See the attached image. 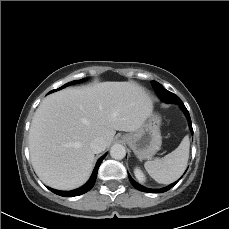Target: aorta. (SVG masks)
Masks as SVG:
<instances>
[{
	"mask_svg": "<svg viewBox=\"0 0 229 229\" xmlns=\"http://www.w3.org/2000/svg\"><path fill=\"white\" fill-rule=\"evenodd\" d=\"M125 155H126V149L121 144H114L110 149V156L113 159L121 160L125 157Z\"/></svg>",
	"mask_w": 229,
	"mask_h": 229,
	"instance_id": "aorta-1",
	"label": "aorta"
}]
</instances>
